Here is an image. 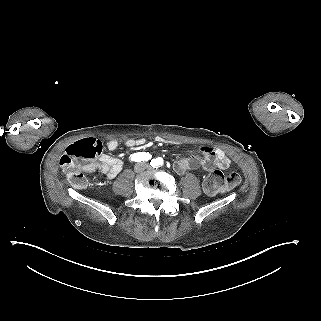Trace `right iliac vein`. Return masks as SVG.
<instances>
[{"label":"right iliac vein","mask_w":321,"mask_h":321,"mask_svg":"<svg viewBox=\"0 0 321 321\" xmlns=\"http://www.w3.org/2000/svg\"><path fill=\"white\" fill-rule=\"evenodd\" d=\"M146 164L144 163H138L134 167V172L135 173H142L146 169Z\"/></svg>","instance_id":"obj_1"}]
</instances>
